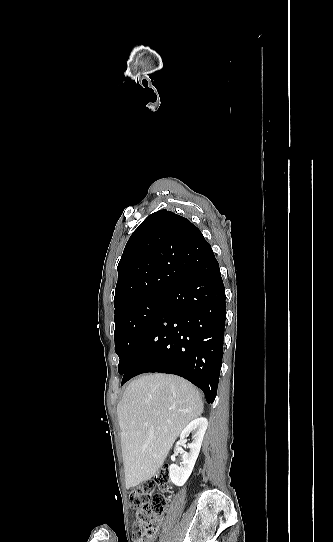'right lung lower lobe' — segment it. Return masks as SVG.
Here are the masks:
<instances>
[{"label":"right lung lower lobe","instance_id":"1","mask_svg":"<svg viewBox=\"0 0 333 542\" xmlns=\"http://www.w3.org/2000/svg\"><path fill=\"white\" fill-rule=\"evenodd\" d=\"M161 258L184 272L168 292L123 374L122 384L146 372L179 375L213 403L223 356L225 288L211 246L165 250Z\"/></svg>","mask_w":333,"mask_h":542}]
</instances>
